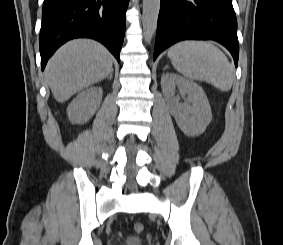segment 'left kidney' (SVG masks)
<instances>
[{
  "mask_svg": "<svg viewBox=\"0 0 283 245\" xmlns=\"http://www.w3.org/2000/svg\"><path fill=\"white\" fill-rule=\"evenodd\" d=\"M161 87L169 110L183 133L191 137L202 134L212 119L211 107L203 89L175 73L164 74ZM176 87L181 95H187L186 103H179Z\"/></svg>",
  "mask_w": 283,
  "mask_h": 245,
  "instance_id": "1",
  "label": "left kidney"
}]
</instances>
